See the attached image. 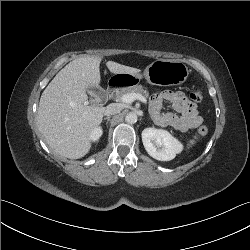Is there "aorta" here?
Listing matches in <instances>:
<instances>
[{"mask_svg":"<svg viewBox=\"0 0 250 250\" xmlns=\"http://www.w3.org/2000/svg\"><path fill=\"white\" fill-rule=\"evenodd\" d=\"M125 121L129 124H134L137 122V115L134 112L127 113Z\"/></svg>","mask_w":250,"mask_h":250,"instance_id":"762f6f07","label":"aorta"}]
</instances>
